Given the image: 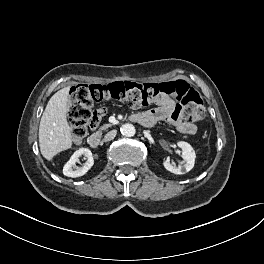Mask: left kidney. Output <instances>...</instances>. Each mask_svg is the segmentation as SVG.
<instances>
[{"label":"left kidney","mask_w":264,"mask_h":264,"mask_svg":"<svg viewBox=\"0 0 264 264\" xmlns=\"http://www.w3.org/2000/svg\"><path fill=\"white\" fill-rule=\"evenodd\" d=\"M177 145L182 149L183 162L178 166H173L169 162H164V167L174 174H184L189 172L195 164L196 154L193 147L184 141H180Z\"/></svg>","instance_id":"obj_1"}]
</instances>
